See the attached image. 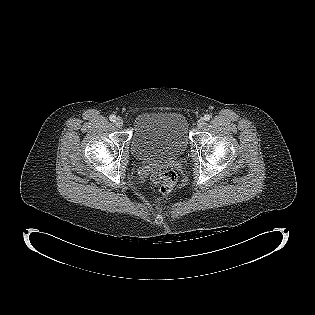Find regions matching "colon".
I'll return each instance as SVG.
<instances>
[{"label": "colon", "instance_id": "colon-1", "mask_svg": "<svg viewBox=\"0 0 315 315\" xmlns=\"http://www.w3.org/2000/svg\"><path fill=\"white\" fill-rule=\"evenodd\" d=\"M156 185L162 196H168L173 191L177 182V175L172 170H166L157 174L155 178Z\"/></svg>", "mask_w": 315, "mask_h": 315}]
</instances>
